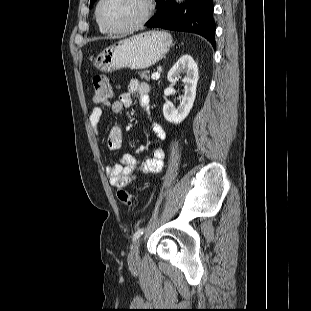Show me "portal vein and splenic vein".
I'll use <instances>...</instances> for the list:
<instances>
[{"mask_svg":"<svg viewBox=\"0 0 311 311\" xmlns=\"http://www.w3.org/2000/svg\"><path fill=\"white\" fill-rule=\"evenodd\" d=\"M151 78H152L153 80H158V79L160 78V73H158V72L153 73V74L151 75Z\"/></svg>","mask_w":311,"mask_h":311,"instance_id":"1","label":"portal vein and splenic vein"}]
</instances>
